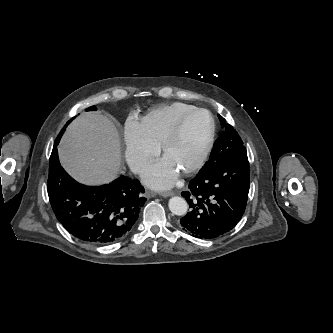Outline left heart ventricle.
Here are the masks:
<instances>
[{
  "label": "left heart ventricle",
  "instance_id": "left-heart-ventricle-1",
  "mask_svg": "<svg viewBox=\"0 0 333 333\" xmlns=\"http://www.w3.org/2000/svg\"><path fill=\"white\" fill-rule=\"evenodd\" d=\"M210 129V119L200 112L187 119L179 139L165 154L172 166L181 172L190 166L199 156Z\"/></svg>",
  "mask_w": 333,
  "mask_h": 333
}]
</instances>
